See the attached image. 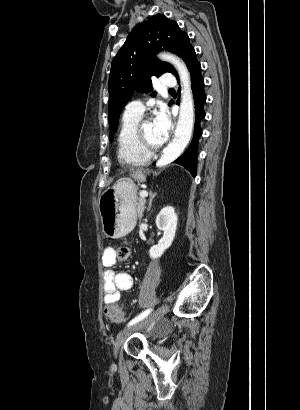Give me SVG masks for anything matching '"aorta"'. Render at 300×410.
<instances>
[{
    "mask_svg": "<svg viewBox=\"0 0 300 410\" xmlns=\"http://www.w3.org/2000/svg\"><path fill=\"white\" fill-rule=\"evenodd\" d=\"M159 57L175 67L181 83V103L175 135L156 163L157 167H163L176 160L190 142L194 126V100L190 74L185 63L176 55L169 53H162Z\"/></svg>",
    "mask_w": 300,
    "mask_h": 410,
    "instance_id": "aorta-1",
    "label": "aorta"
}]
</instances>
